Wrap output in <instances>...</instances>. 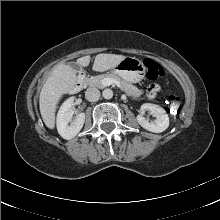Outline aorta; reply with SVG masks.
I'll return each mask as SVG.
<instances>
[{"mask_svg": "<svg viewBox=\"0 0 220 220\" xmlns=\"http://www.w3.org/2000/svg\"><path fill=\"white\" fill-rule=\"evenodd\" d=\"M102 95L105 99H111L113 97V91L111 89H104Z\"/></svg>", "mask_w": 220, "mask_h": 220, "instance_id": "762f6f07", "label": "aorta"}]
</instances>
